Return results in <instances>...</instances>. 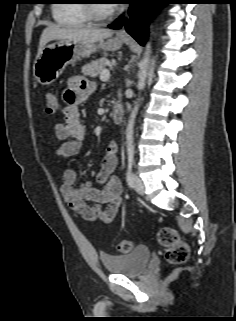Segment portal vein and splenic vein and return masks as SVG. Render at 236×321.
<instances>
[{
	"label": "portal vein and splenic vein",
	"instance_id": "portal-vein-and-splenic-vein-1",
	"mask_svg": "<svg viewBox=\"0 0 236 321\" xmlns=\"http://www.w3.org/2000/svg\"><path fill=\"white\" fill-rule=\"evenodd\" d=\"M110 78V71L108 69H104L101 73H100V79L102 81H107Z\"/></svg>",
	"mask_w": 236,
	"mask_h": 321
}]
</instances>
